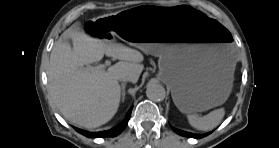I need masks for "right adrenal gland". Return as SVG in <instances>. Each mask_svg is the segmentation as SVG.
<instances>
[{"mask_svg":"<svg viewBox=\"0 0 279 148\" xmlns=\"http://www.w3.org/2000/svg\"><path fill=\"white\" fill-rule=\"evenodd\" d=\"M125 85H126L125 82L121 84V87H122V102H124V99H125Z\"/></svg>","mask_w":279,"mask_h":148,"instance_id":"obj_1","label":"right adrenal gland"}]
</instances>
